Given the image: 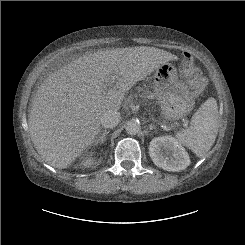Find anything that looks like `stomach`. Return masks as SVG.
<instances>
[{"instance_id": "obj_1", "label": "stomach", "mask_w": 245, "mask_h": 245, "mask_svg": "<svg viewBox=\"0 0 245 245\" xmlns=\"http://www.w3.org/2000/svg\"><path fill=\"white\" fill-rule=\"evenodd\" d=\"M154 91L166 121H175L189 114L195 100L171 63L159 66L153 74Z\"/></svg>"}]
</instances>
